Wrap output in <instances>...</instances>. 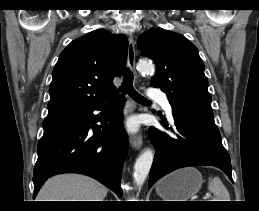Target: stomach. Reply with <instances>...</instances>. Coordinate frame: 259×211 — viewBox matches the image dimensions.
I'll return each mask as SVG.
<instances>
[{
	"label": "stomach",
	"mask_w": 259,
	"mask_h": 211,
	"mask_svg": "<svg viewBox=\"0 0 259 211\" xmlns=\"http://www.w3.org/2000/svg\"><path fill=\"white\" fill-rule=\"evenodd\" d=\"M202 183L201 173L196 168L188 167L160 180L156 192L164 201H187L200 190Z\"/></svg>",
	"instance_id": "0dacf381"
}]
</instances>
